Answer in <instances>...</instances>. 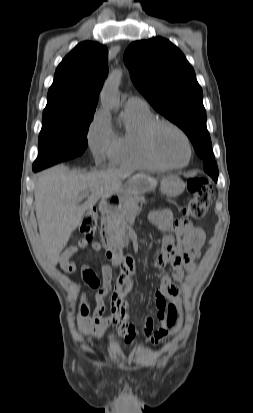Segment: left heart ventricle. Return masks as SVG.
I'll return each mask as SVG.
<instances>
[{"instance_id":"b2bd125f","label":"left heart ventricle","mask_w":253,"mask_h":413,"mask_svg":"<svg viewBox=\"0 0 253 413\" xmlns=\"http://www.w3.org/2000/svg\"><path fill=\"white\" fill-rule=\"evenodd\" d=\"M154 144L158 154L169 163L182 164L187 159L188 150L183 137L167 126L156 131Z\"/></svg>"}]
</instances>
